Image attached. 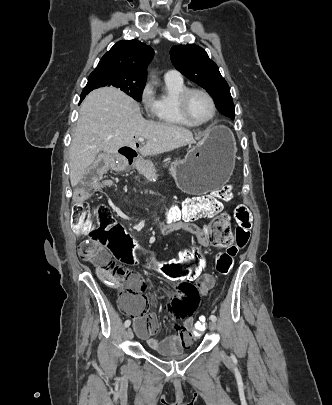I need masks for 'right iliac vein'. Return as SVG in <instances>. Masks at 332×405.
<instances>
[{
    "label": "right iliac vein",
    "mask_w": 332,
    "mask_h": 405,
    "mask_svg": "<svg viewBox=\"0 0 332 405\" xmlns=\"http://www.w3.org/2000/svg\"><path fill=\"white\" fill-rule=\"evenodd\" d=\"M126 336H127L128 339H133L134 334H133V331H132L131 328H128V329H127V331H126Z\"/></svg>",
    "instance_id": "63e3f726"
}]
</instances>
